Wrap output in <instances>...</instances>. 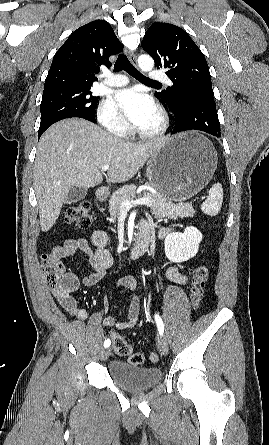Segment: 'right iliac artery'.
Listing matches in <instances>:
<instances>
[{"mask_svg": "<svg viewBox=\"0 0 269 445\" xmlns=\"http://www.w3.org/2000/svg\"><path fill=\"white\" fill-rule=\"evenodd\" d=\"M110 340L109 339H107V340H105V342H104V347L105 348H107V347H109L110 346Z\"/></svg>", "mask_w": 269, "mask_h": 445, "instance_id": "right-iliac-artery-1", "label": "right iliac artery"}]
</instances>
